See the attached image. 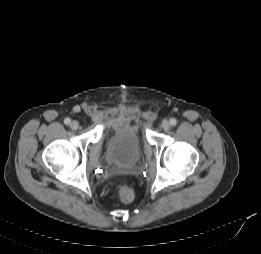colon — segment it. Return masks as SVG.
Masks as SVG:
<instances>
[{
	"mask_svg": "<svg viewBox=\"0 0 261 254\" xmlns=\"http://www.w3.org/2000/svg\"><path fill=\"white\" fill-rule=\"evenodd\" d=\"M118 197L124 203H129L134 198V191L128 185H121L118 188Z\"/></svg>",
	"mask_w": 261,
	"mask_h": 254,
	"instance_id": "1",
	"label": "colon"
}]
</instances>
